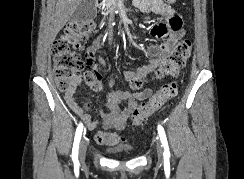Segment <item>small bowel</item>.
Segmentation results:
<instances>
[{
    "label": "small bowel",
    "mask_w": 244,
    "mask_h": 179,
    "mask_svg": "<svg viewBox=\"0 0 244 179\" xmlns=\"http://www.w3.org/2000/svg\"><path fill=\"white\" fill-rule=\"evenodd\" d=\"M137 10L142 14L152 13L161 17L162 21L155 23L150 28V35L153 38L164 39L160 44H150L145 49V54L149 58L146 64H143L135 70H125L123 78L131 80L132 78H144L153 71L161 67L162 63L167 59L171 49L176 45L178 40L182 37V20L175 10L163 0H137L134 3ZM105 37L97 35L92 43L86 49V56L91 62L93 58L97 59L98 66L102 69H107L108 64L104 57L98 53L103 46ZM115 78H111L109 84L115 85ZM78 86V84H77ZM77 89H70L64 91V100L68 107L81 118L86 126L92 130L98 125V121L85 112L84 107L77 101L75 94ZM116 97L127 101L126 108L119 114L106 112L100 110L101 124L106 129L122 130L127 122L128 117L138 105V102L146 99L151 95L149 88L139 93L131 94L127 91L117 89L115 91ZM89 106L88 103L85 104ZM96 141L102 145H115L123 142V136L115 132H98L95 136Z\"/></svg>",
    "instance_id": "1"
}]
</instances>
